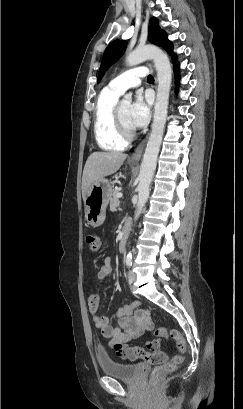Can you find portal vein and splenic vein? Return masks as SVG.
I'll use <instances>...</instances> for the list:
<instances>
[{"label": "portal vein and splenic vein", "mask_w": 243, "mask_h": 409, "mask_svg": "<svg viewBox=\"0 0 243 409\" xmlns=\"http://www.w3.org/2000/svg\"><path fill=\"white\" fill-rule=\"evenodd\" d=\"M122 196H123L122 193H118V195H117L118 198H121Z\"/></svg>", "instance_id": "portal-vein-and-splenic-vein-1"}]
</instances>
